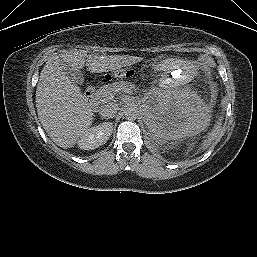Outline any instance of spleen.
<instances>
[{
	"mask_svg": "<svg viewBox=\"0 0 257 257\" xmlns=\"http://www.w3.org/2000/svg\"><path fill=\"white\" fill-rule=\"evenodd\" d=\"M222 106H224V103H222ZM222 120H223V113L218 115L217 121L213 129L211 130V132L208 133V135L202 141L200 148L198 149V152L208 149L213 143V141L217 139L221 131Z\"/></svg>",
	"mask_w": 257,
	"mask_h": 257,
	"instance_id": "spleen-1",
	"label": "spleen"
}]
</instances>
